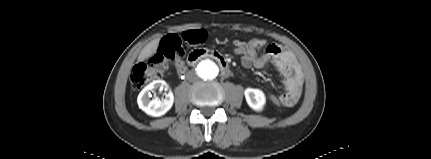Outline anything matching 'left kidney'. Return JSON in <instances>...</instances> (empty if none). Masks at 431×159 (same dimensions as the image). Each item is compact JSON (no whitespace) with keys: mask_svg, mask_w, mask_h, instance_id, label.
Instances as JSON below:
<instances>
[{"mask_svg":"<svg viewBox=\"0 0 431 159\" xmlns=\"http://www.w3.org/2000/svg\"><path fill=\"white\" fill-rule=\"evenodd\" d=\"M244 95L247 104L255 111H262L266 103V97L260 89L246 88Z\"/></svg>","mask_w":431,"mask_h":159,"instance_id":"1","label":"left kidney"}]
</instances>
